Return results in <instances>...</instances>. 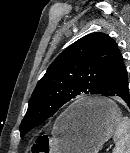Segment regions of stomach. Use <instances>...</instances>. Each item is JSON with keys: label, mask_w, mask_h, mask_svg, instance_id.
Returning <instances> with one entry per match:
<instances>
[{"label": "stomach", "mask_w": 130, "mask_h": 153, "mask_svg": "<svg viewBox=\"0 0 130 153\" xmlns=\"http://www.w3.org/2000/svg\"><path fill=\"white\" fill-rule=\"evenodd\" d=\"M86 108L83 113L77 111ZM122 115L104 97L73 103L58 119L52 141L57 153H98L115 132Z\"/></svg>", "instance_id": "stomach-1"}]
</instances>
